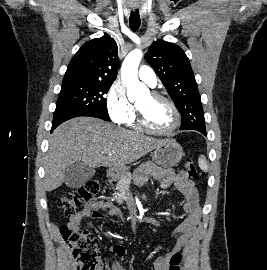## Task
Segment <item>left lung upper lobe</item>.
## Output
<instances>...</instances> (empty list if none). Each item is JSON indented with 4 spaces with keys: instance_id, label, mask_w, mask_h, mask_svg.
Returning a JSON list of instances; mask_svg holds the SVG:
<instances>
[{
    "instance_id": "obj_1",
    "label": "left lung upper lobe",
    "mask_w": 267,
    "mask_h": 270,
    "mask_svg": "<svg viewBox=\"0 0 267 270\" xmlns=\"http://www.w3.org/2000/svg\"><path fill=\"white\" fill-rule=\"evenodd\" d=\"M176 108L181 113V130H206L200 94L185 52L176 44L153 42L145 54Z\"/></svg>"
}]
</instances>
